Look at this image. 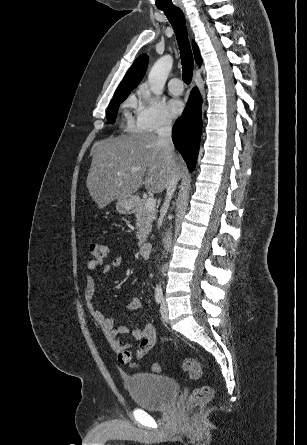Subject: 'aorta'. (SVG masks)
I'll return each instance as SVG.
<instances>
[{"mask_svg": "<svg viewBox=\"0 0 307 445\" xmlns=\"http://www.w3.org/2000/svg\"><path fill=\"white\" fill-rule=\"evenodd\" d=\"M173 66V56L164 54L154 62L149 74L148 84L154 94H162L168 74ZM156 291H162L161 283H157Z\"/></svg>", "mask_w": 307, "mask_h": 445, "instance_id": "1", "label": "aorta"}]
</instances>
